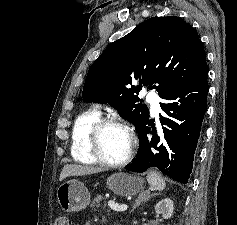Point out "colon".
<instances>
[{"instance_id": "5ec220e1", "label": "colon", "mask_w": 237, "mask_h": 225, "mask_svg": "<svg viewBox=\"0 0 237 225\" xmlns=\"http://www.w3.org/2000/svg\"><path fill=\"white\" fill-rule=\"evenodd\" d=\"M55 225H69V219L66 216H59L55 221Z\"/></svg>"}]
</instances>
